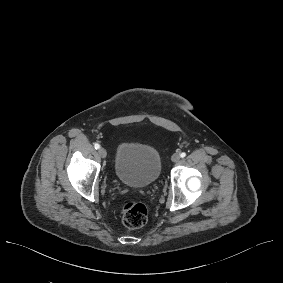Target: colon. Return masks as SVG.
<instances>
[{
    "mask_svg": "<svg viewBox=\"0 0 283 283\" xmlns=\"http://www.w3.org/2000/svg\"><path fill=\"white\" fill-rule=\"evenodd\" d=\"M122 221L130 229L140 228L147 221V208L143 203L132 201L122 208Z\"/></svg>",
    "mask_w": 283,
    "mask_h": 283,
    "instance_id": "colon-1",
    "label": "colon"
}]
</instances>
